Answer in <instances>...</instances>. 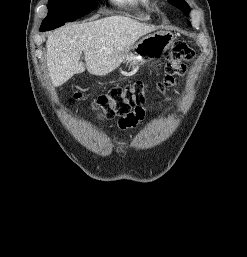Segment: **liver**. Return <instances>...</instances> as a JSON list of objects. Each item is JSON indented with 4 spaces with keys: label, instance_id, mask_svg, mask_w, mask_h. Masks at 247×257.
<instances>
[{
    "label": "liver",
    "instance_id": "1",
    "mask_svg": "<svg viewBox=\"0 0 247 257\" xmlns=\"http://www.w3.org/2000/svg\"><path fill=\"white\" fill-rule=\"evenodd\" d=\"M154 30L121 15L68 24L55 30L46 42L47 66L53 86L63 85L85 68L92 75H107L119 67L141 36ZM82 53L85 64L80 61Z\"/></svg>",
    "mask_w": 247,
    "mask_h": 257
}]
</instances>
